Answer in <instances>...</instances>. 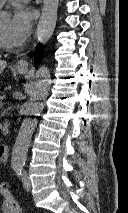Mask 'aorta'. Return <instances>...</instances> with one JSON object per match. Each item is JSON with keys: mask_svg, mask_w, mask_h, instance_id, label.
<instances>
[{"mask_svg": "<svg viewBox=\"0 0 128 213\" xmlns=\"http://www.w3.org/2000/svg\"><path fill=\"white\" fill-rule=\"evenodd\" d=\"M58 5L59 0H43L42 14L36 29L37 40L43 44L53 35L57 21ZM0 16L4 17L5 14L0 13ZM36 77L38 80L32 87L30 99L26 103V117L22 121L12 150V168H21L25 164L31 137L37 125V119L35 117L41 113L44 107L42 100L47 97L50 89V73L45 65L39 67L36 72Z\"/></svg>", "mask_w": 128, "mask_h": 213, "instance_id": "1", "label": "aorta"}]
</instances>
